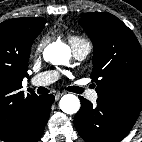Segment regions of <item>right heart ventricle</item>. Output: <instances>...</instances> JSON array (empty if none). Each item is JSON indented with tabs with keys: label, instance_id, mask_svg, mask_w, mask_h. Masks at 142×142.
<instances>
[{
	"label": "right heart ventricle",
	"instance_id": "right-heart-ventricle-1",
	"mask_svg": "<svg viewBox=\"0 0 142 142\" xmlns=\"http://www.w3.org/2000/svg\"><path fill=\"white\" fill-rule=\"evenodd\" d=\"M69 42L72 45H77V44H87V45H90L89 42L82 38V37H79V36H75V35H72L69 37Z\"/></svg>",
	"mask_w": 142,
	"mask_h": 142
}]
</instances>
